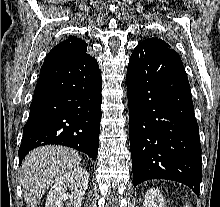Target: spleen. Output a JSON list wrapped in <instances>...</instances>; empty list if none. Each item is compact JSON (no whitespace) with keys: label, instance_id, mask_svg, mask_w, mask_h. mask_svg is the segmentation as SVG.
Wrapping results in <instances>:
<instances>
[{"label":"spleen","instance_id":"1","mask_svg":"<svg viewBox=\"0 0 220 207\" xmlns=\"http://www.w3.org/2000/svg\"><path fill=\"white\" fill-rule=\"evenodd\" d=\"M186 207H189V204H186ZM191 207V206H190Z\"/></svg>","mask_w":220,"mask_h":207}]
</instances>
